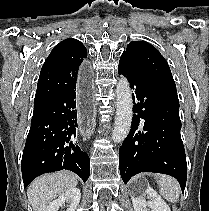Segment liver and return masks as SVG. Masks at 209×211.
Instances as JSON below:
<instances>
[{
  "mask_svg": "<svg viewBox=\"0 0 209 211\" xmlns=\"http://www.w3.org/2000/svg\"><path fill=\"white\" fill-rule=\"evenodd\" d=\"M78 184L75 174L69 171L55 172L36 178L27 190L33 211H45L59 195Z\"/></svg>",
  "mask_w": 209,
  "mask_h": 211,
  "instance_id": "liver-1",
  "label": "liver"
}]
</instances>
